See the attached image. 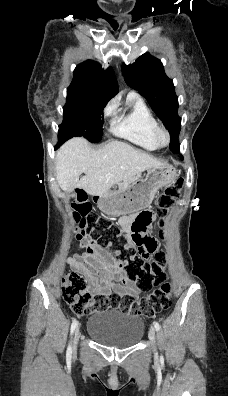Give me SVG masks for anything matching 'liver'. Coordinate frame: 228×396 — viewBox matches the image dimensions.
I'll return each mask as SVG.
<instances>
[{"instance_id": "liver-1", "label": "liver", "mask_w": 228, "mask_h": 396, "mask_svg": "<svg viewBox=\"0 0 228 396\" xmlns=\"http://www.w3.org/2000/svg\"><path fill=\"white\" fill-rule=\"evenodd\" d=\"M55 165L57 182L63 191L71 193L80 188L95 196L166 163L121 141H111L95 150L86 139L76 137L59 148ZM82 173L85 175L80 178Z\"/></svg>"}]
</instances>
